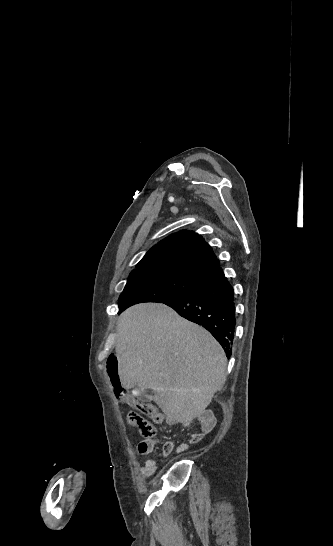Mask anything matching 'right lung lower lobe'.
I'll return each instance as SVG.
<instances>
[{
  "label": "right lung lower lobe",
  "instance_id": "1",
  "mask_svg": "<svg viewBox=\"0 0 333 546\" xmlns=\"http://www.w3.org/2000/svg\"><path fill=\"white\" fill-rule=\"evenodd\" d=\"M162 303L210 331L230 357L236 326L234 291L220 267L193 290Z\"/></svg>",
  "mask_w": 333,
  "mask_h": 546
}]
</instances>
